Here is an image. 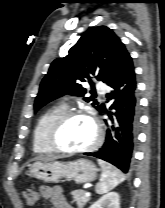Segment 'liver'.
<instances>
[{
	"instance_id": "liver-1",
	"label": "liver",
	"mask_w": 165,
	"mask_h": 208,
	"mask_svg": "<svg viewBox=\"0 0 165 208\" xmlns=\"http://www.w3.org/2000/svg\"><path fill=\"white\" fill-rule=\"evenodd\" d=\"M41 160H45V161H53L55 159H57V157H44V158H40Z\"/></svg>"
}]
</instances>
